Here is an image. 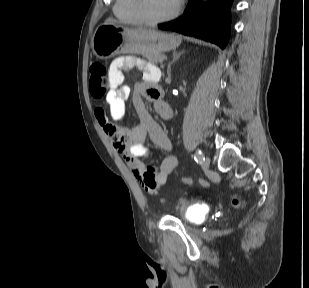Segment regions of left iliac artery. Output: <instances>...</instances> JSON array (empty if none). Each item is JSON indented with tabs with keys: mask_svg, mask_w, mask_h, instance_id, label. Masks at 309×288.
Listing matches in <instances>:
<instances>
[{
	"mask_svg": "<svg viewBox=\"0 0 309 288\" xmlns=\"http://www.w3.org/2000/svg\"><path fill=\"white\" fill-rule=\"evenodd\" d=\"M193 157L197 163H202V161L205 159L201 150L196 151Z\"/></svg>",
	"mask_w": 309,
	"mask_h": 288,
	"instance_id": "obj_1",
	"label": "left iliac artery"
}]
</instances>
